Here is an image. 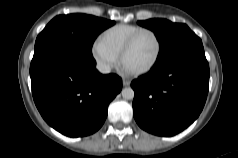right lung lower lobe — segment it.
I'll list each match as a JSON object with an SVG mask.
<instances>
[{"label":"right lung lower lobe","instance_id":"right-lung-lower-lobe-1","mask_svg":"<svg viewBox=\"0 0 238 158\" xmlns=\"http://www.w3.org/2000/svg\"><path fill=\"white\" fill-rule=\"evenodd\" d=\"M93 56L50 41L35 49L30 65L34 102L43 119L69 137L87 136L104 123L122 89L116 74H100Z\"/></svg>","mask_w":238,"mask_h":158}]
</instances>
